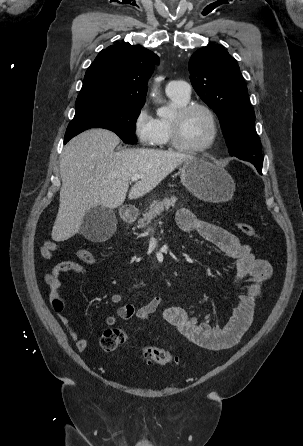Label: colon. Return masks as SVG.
<instances>
[{"label":"colon","instance_id":"obj_1","mask_svg":"<svg viewBox=\"0 0 303 446\" xmlns=\"http://www.w3.org/2000/svg\"><path fill=\"white\" fill-rule=\"evenodd\" d=\"M237 229L248 237L257 238L258 234L255 228L249 223L237 222ZM77 257L84 263H94L95 256L87 249H80L77 252ZM127 342V335L121 328H109L106 329L100 338L101 349L110 353L116 350L118 347L124 345ZM142 356L148 364L167 365L172 363H178L179 358L172 355L164 349H160L154 346H146L142 350Z\"/></svg>","mask_w":303,"mask_h":446}]
</instances>
